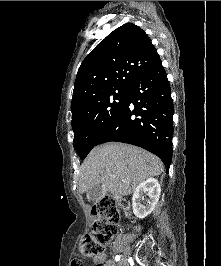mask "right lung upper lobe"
<instances>
[{
	"instance_id": "cb5924a9",
	"label": "right lung upper lobe",
	"mask_w": 221,
	"mask_h": 266,
	"mask_svg": "<svg viewBox=\"0 0 221 266\" xmlns=\"http://www.w3.org/2000/svg\"><path fill=\"white\" fill-rule=\"evenodd\" d=\"M161 63V59L140 27L126 23L112 31L90 52L78 69L72 116L98 93L128 87Z\"/></svg>"
}]
</instances>
